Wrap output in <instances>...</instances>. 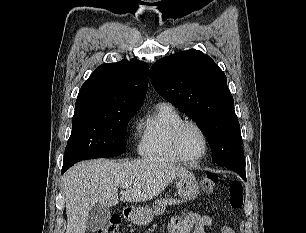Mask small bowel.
I'll return each instance as SVG.
<instances>
[{"mask_svg":"<svg viewBox=\"0 0 306 233\" xmlns=\"http://www.w3.org/2000/svg\"><path fill=\"white\" fill-rule=\"evenodd\" d=\"M214 220L209 215H200L184 211L171 219L168 224L169 233H205V228L211 227ZM220 233H235L230 227H221Z\"/></svg>","mask_w":306,"mask_h":233,"instance_id":"1","label":"small bowel"}]
</instances>
